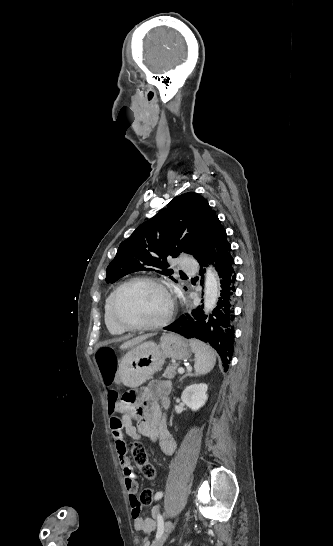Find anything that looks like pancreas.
I'll list each match as a JSON object with an SVG mask.
<instances>
[{
	"instance_id": "cf45deb5",
	"label": "pancreas",
	"mask_w": 333,
	"mask_h": 546,
	"mask_svg": "<svg viewBox=\"0 0 333 546\" xmlns=\"http://www.w3.org/2000/svg\"><path fill=\"white\" fill-rule=\"evenodd\" d=\"M178 365L177 364H169V366L166 368V370L163 373V376L169 379H172L176 376V369Z\"/></svg>"
}]
</instances>
